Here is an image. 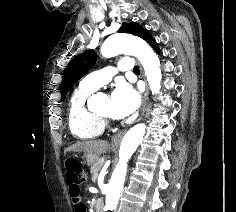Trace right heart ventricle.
Masks as SVG:
<instances>
[{
  "label": "right heart ventricle",
  "mask_w": 236,
  "mask_h": 212,
  "mask_svg": "<svg viewBox=\"0 0 236 212\" xmlns=\"http://www.w3.org/2000/svg\"><path fill=\"white\" fill-rule=\"evenodd\" d=\"M96 89L81 83L71 96L68 109V121L72 134L79 139L88 140L99 137L105 131V123L91 110L86 102Z\"/></svg>",
  "instance_id": "1"
}]
</instances>
